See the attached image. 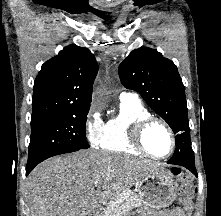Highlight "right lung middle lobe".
<instances>
[{
    "mask_svg": "<svg viewBox=\"0 0 221 216\" xmlns=\"http://www.w3.org/2000/svg\"><path fill=\"white\" fill-rule=\"evenodd\" d=\"M89 108L31 121L27 165L64 153L89 148L85 127Z\"/></svg>",
    "mask_w": 221,
    "mask_h": 216,
    "instance_id": "right-lung-middle-lobe-1",
    "label": "right lung middle lobe"
}]
</instances>
